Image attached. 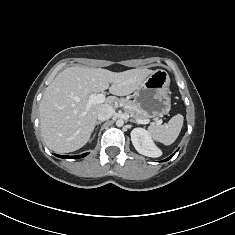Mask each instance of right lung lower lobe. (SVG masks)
<instances>
[{
    "mask_svg": "<svg viewBox=\"0 0 235 235\" xmlns=\"http://www.w3.org/2000/svg\"><path fill=\"white\" fill-rule=\"evenodd\" d=\"M56 155V154H55ZM88 155V153H84L81 156H63V155H56L57 157L64 158V159H77V158H82Z\"/></svg>",
    "mask_w": 235,
    "mask_h": 235,
    "instance_id": "obj_1",
    "label": "right lung lower lobe"
}]
</instances>
